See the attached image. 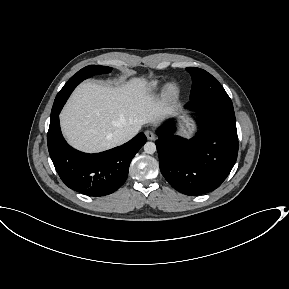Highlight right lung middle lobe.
<instances>
[{"label":"right lung middle lobe","instance_id":"dd1d6c3e","mask_svg":"<svg viewBox=\"0 0 289 289\" xmlns=\"http://www.w3.org/2000/svg\"><path fill=\"white\" fill-rule=\"evenodd\" d=\"M112 68L105 67V66H96V65H89L78 71L74 76H72L69 81H75V80H81L87 79L93 75L96 74H104L111 72ZM51 115H53V110L51 112Z\"/></svg>","mask_w":289,"mask_h":289}]
</instances>
